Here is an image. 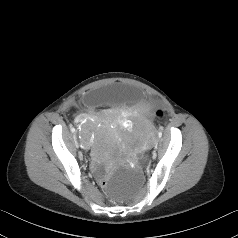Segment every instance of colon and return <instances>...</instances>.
<instances>
[{
    "label": "colon",
    "instance_id": "1",
    "mask_svg": "<svg viewBox=\"0 0 238 238\" xmlns=\"http://www.w3.org/2000/svg\"><path fill=\"white\" fill-rule=\"evenodd\" d=\"M163 111H158L157 115L158 116H163ZM110 180L107 177H103L99 182H98V187L100 189L106 190L109 187Z\"/></svg>",
    "mask_w": 238,
    "mask_h": 238
}]
</instances>
